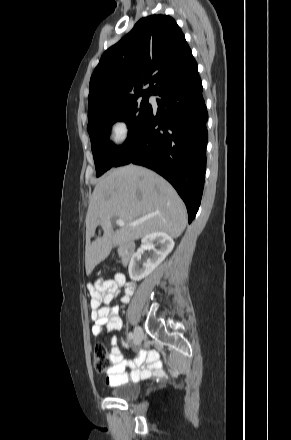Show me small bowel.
Returning a JSON list of instances; mask_svg holds the SVG:
<instances>
[{
    "label": "small bowel",
    "mask_w": 291,
    "mask_h": 440,
    "mask_svg": "<svg viewBox=\"0 0 291 440\" xmlns=\"http://www.w3.org/2000/svg\"><path fill=\"white\" fill-rule=\"evenodd\" d=\"M91 295L90 316L93 321L92 334L100 336L122 327L119 309L110 307L119 289L124 287L125 293L121 297L123 304H128L135 291L133 281H127L122 274H117L114 279H97L87 285ZM102 305H105L102 307ZM124 345L127 343L122 341ZM109 368L106 371V382L110 386H118L128 381H136L141 377L162 374L161 362L150 351H143L129 362L122 361V354L117 344V338L110 339Z\"/></svg>",
    "instance_id": "small-bowel-1"
}]
</instances>
